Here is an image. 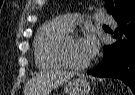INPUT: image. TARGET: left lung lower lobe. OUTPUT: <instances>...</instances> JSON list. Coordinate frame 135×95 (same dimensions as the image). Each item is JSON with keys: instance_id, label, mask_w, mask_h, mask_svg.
<instances>
[{"instance_id": "obj_1", "label": "left lung lower lobe", "mask_w": 135, "mask_h": 95, "mask_svg": "<svg viewBox=\"0 0 135 95\" xmlns=\"http://www.w3.org/2000/svg\"><path fill=\"white\" fill-rule=\"evenodd\" d=\"M113 34L116 41L107 45L102 61L88 74L122 80L135 94V9L116 20Z\"/></svg>"}]
</instances>
